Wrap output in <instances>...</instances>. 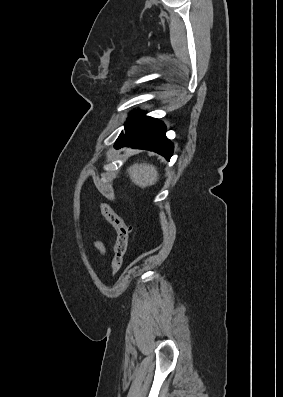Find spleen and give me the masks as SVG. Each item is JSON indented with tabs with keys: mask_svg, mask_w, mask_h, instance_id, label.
<instances>
[{
	"mask_svg": "<svg viewBox=\"0 0 283 397\" xmlns=\"http://www.w3.org/2000/svg\"><path fill=\"white\" fill-rule=\"evenodd\" d=\"M127 173L131 181L141 188L154 185L159 177L156 168L147 163H135L127 169Z\"/></svg>",
	"mask_w": 283,
	"mask_h": 397,
	"instance_id": "3e777b00",
	"label": "spleen"
}]
</instances>
